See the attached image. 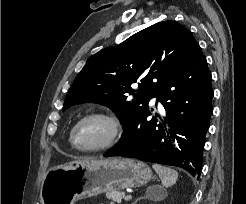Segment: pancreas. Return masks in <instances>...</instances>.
I'll list each match as a JSON object with an SVG mask.
<instances>
[{"label": "pancreas", "mask_w": 246, "mask_h": 204, "mask_svg": "<svg viewBox=\"0 0 246 204\" xmlns=\"http://www.w3.org/2000/svg\"><path fill=\"white\" fill-rule=\"evenodd\" d=\"M106 197L113 202L120 203L124 197V192L122 191H109L106 193Z\"/></svg>", "instance_id": "pancreas-1"}]
</instances>
